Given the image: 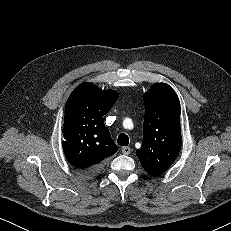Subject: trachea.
Returning <instances> with one entry per match:
<instances>
[{
	"instance_id": "3493384b",
	"label": "trachea",
	"mask_w": 231,
	"mask_h": 231,
	"mask_svg": "<svg viewBox=\"0 0 231 231\" xmlns=\"http://www.w3.org/2000/svg\"><path fill=\"white\" fill-rule=\"evenodd\" d=\"M117 143L120 146H127L129 144V137L128 135L122 133L118 136Z\"/></svg>"
}]
</instances>
